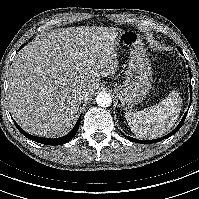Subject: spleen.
Here are the masks:
<instances>
[{"instance_id": "spleen-1", "label": "spleen", "mask_w": 199, "mask_h": 199, "mask_svg": "<svg viewBox=\"0 0 199 199\" xmlns=\"http://www.w3.org/2000/svg\"><path fill=\"white\" fill-rule=\"evenodd\" d=\"M181 111L179 94L172 91L160 103L142 111L126 112L131 131L139 138L155 139L168 132Z\"/></svg>"}]
</instances>
